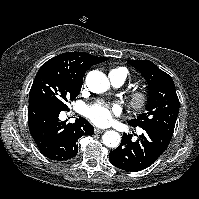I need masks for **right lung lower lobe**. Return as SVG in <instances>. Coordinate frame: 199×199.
<instances>
[{
	"label": "right lung lower lobe",
	"instance_id": "right-lung-lower-lobe-1",
	"mask_svg": "<svg viewBox=\"0 0 199 199\" xmlns=\"http://www.w3.org/2000/svg\"><path fill=\"white\" fill-rule=\"evenodd\" d=\"M62 110L50 100L39 99L29 103V131L40 152L51 160L64 161L78 152L77 140L92 135L93 126L79 117L75 123L59 120Z\"/></svg>",
	"mask_w": 199,
	"mask_h": 199
}]
</instances>
